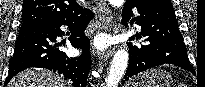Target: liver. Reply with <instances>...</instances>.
<instances>
[{
  "instance_id": "obj_1",
  "label": "liver",
  "mask_w": 205,
  "mask_h": 87,
  "mask_svg": "<svg viewBox=\"0 0 205 87\" xmlns=\"http://www.w3.org/2000/svg\"><path fill=\"white\" fill-rule=\"evenodd\" d=\"M8 87H71V84L53 72L27 69L16 75Z\"/></svg>"
}]
</instances>
